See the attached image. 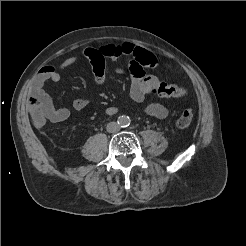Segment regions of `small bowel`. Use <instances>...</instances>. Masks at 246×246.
I'll return each instance as SVG.
<instances>
[{
  "label": "small bowel",
  "instance_id": "c3829d8e",
  "mask_svg": "<svg viewBox=\"0 0 246 246\" xmlns=\"http://www.w3.org/2000/svg\"><path fill=\"white\" fill-rule=\"evenodd\" d=\"M135 48L133 44L127 42L119 45H104L99 48H86L81 54L73 55L65 59L57 68L45 66L40 69L33 80L32 96H38L51 105V113L48 116L49 121H65L70 117L72 110L70 108H55L50 96L44 91V84L49 80L55 82L59 81L62 77V71L73 66L83 57L92 65L96 85L102 86L105 82L104 69L106 59L115 60L120 57H127L129 59L127 68L118 67L115 69V72L117 74H123L126 70H129L132 78L130 97L137 103H143L148 96L152 95V89L159 83V78L155 75H149L145 70L136 67L132 60ZM89 102V97L75 99L72 104V109L81 111ZM104 112L107 115H115L119 112V108L109 106L104 109ZM146 113L158 119H164L168 116L169 110L165 105L153 102L147 105Z\"/></svg>",
  "mask_w": 246,
  "mask_h": 246
}]
</instances>
